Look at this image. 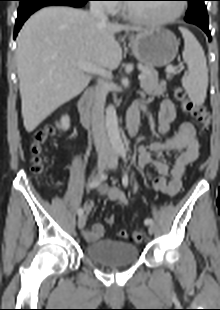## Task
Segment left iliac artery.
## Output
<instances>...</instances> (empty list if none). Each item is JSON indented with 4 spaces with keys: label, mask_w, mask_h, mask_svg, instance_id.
<instances>
[{
    "label": "left iliac artery",
    "mask_w": 220,
    "mask_h": 310,
    "mask_svg": "<svg viewBox=\"0 0 220 310\" xmlns=\"http://www.w3.org/2000/svg\"><path fill=\"white\" fill-rule=\"evenodd\" d=\"M118 152H119V154L121 155V157L126 161V151H125V149H124V147H120L119 149H118ZM137 191V185L135 184V186H134V192H136ZM153 223V220L151 219V218H146L145 220H144V224L145 225H149V224H152Z\"/></svg>",
    "instance_id": "44dca946"
}]
</instances>
